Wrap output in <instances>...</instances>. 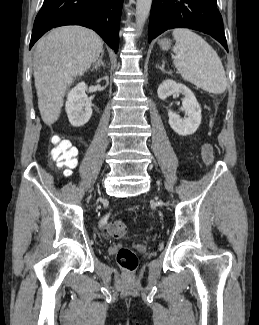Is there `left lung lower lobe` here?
<instances>
[{"label":"left lung lower lobe","mask_w":259,"mask_h":325,"mask_svg":"<svg viewBox=\"0 0 259 325\" xmlns=\"http://www.w3.org/2000/svg\"><path fill=\"white\" fill-rule=\"evenodd\" d=\"M172 28H189L207 33L228 51L223 20L216 0H153L149 42Z\"/></svg>","instance_id":"left-lung-lower-lobe-1"}]
</instances>
